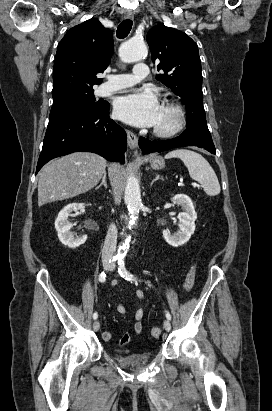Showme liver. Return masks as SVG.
<instances>
[{
	"label": "liver",
	"instance_id": "liver-1",
	"mask_svg": "<svg viewBox=\"0 0 272 411\" xmlns=\"http://www.w3.org/2000/svg\"><path fill=\"white\" fill-rule=\"evenodd\" d=\"M106 160L91 152L57 158L39 173L38 205L68 199L91 190L106 173Z\"/></svg>",
	"mask_w": 272,
	"mask_h": 411
}]
</instances>
